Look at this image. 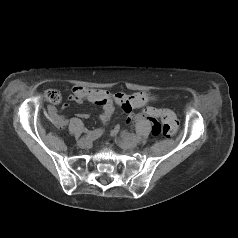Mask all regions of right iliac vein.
Masks as SVG:
<instances>
[{
  "label": "right iliac vein",
  "mask_w": 238,
  "mask_h": 238,
  "mask_svg": "<svg viewBox=\"0 0 238 238\" xmlns=\"http://www.w3.org/2000/svg\"><path fill=\"white\" fill-rule=\"evenodd\" d=\"M90 145V140L87 137H82L79 141H78V146L81 148H86Z\"/></svg>",
  "instance_id": "63e3f726"
}]
</instances>
